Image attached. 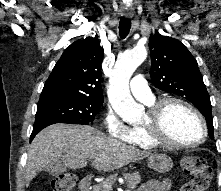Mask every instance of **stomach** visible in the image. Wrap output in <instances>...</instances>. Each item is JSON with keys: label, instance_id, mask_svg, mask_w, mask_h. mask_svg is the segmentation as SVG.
<instances>
[{"label": "stomach", "instance_id": "stomach-1", "mask_svg": "<svg viewBox=\"0 0 221 191\" xmlns=\"http://www.w3.org/2000/svg\"><path fill=\"white\" fill-rule=\"evenodd\" d=\"M148 166L159 173H165L172 168L173 162L171 158L165 154H155L149 157Z\"/></svg>", "mask_w": 221, "mask_h": 191}]
</instances>
